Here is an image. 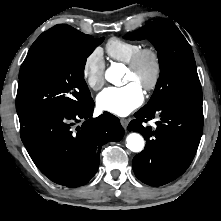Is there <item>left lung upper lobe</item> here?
Returning a JSON list of instances; mask_svg holds the SVG:
<instances>
[{
	"mask_svg": "<svg viewBox=\"0 0 221 221\" xmlns=\"http://www.w3.org/2000/svg\"><path fill=\"white\" fill-rule=\"evenodd\" d=\"M124 38L148 39L158 52L160 76L146 105L161 99L202 104V90L192 49L172 21L155 19Z\"/></svg>",
	"mask_w": 221,
	"mask_h": 221,
	"instance_id": "1",
	"label": "left lung upper lobe"
}]
</instances>
